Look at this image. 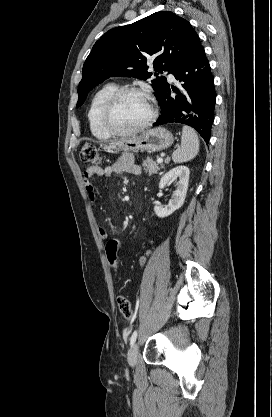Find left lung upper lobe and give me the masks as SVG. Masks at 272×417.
I'll list each match as a JSON object with an SVG mask.
<instances>
[{
	"label": "left lung upper lobe",
	"instance_id": "1",
	"mask_svg": "<svg viewBox=\"0 0 272 417\" xmlns=\"http://www.w3.org/2000/svg\"><path fill=\"white\" fill-rule=\"evenodd\" d=\"M200 39L190 23L170 11L156 12L133 24L106 32L87 57L79 83L80 107L90 90L110 76L148 79L147 61L155 58V71H171L186 57L201 47ZM152 80L159 100L168 83L164 76Z\"/></svg>",
	"mask_w": 272,
	"mask_h": 417
}]
</instances>
